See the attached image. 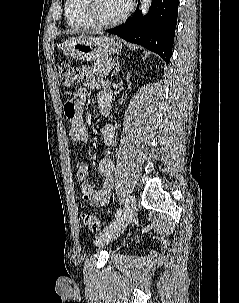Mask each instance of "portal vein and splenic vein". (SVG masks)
I'll use <instances>...</instances> for the list:
<instances>
[{"mask_svg": "<svg viewBox=\"0 0 239 303\" xmlns=\"http://www.w3.org/2000/svg\"><path fill=\"white\" fill-rule=\"evenodd\" d=\"M112 69V67L110 66V64L108 65V70L110 71Z\"/></svg>", "mask_w": 239, "mask_h": 303, "instance_id": "18ae733b", "label": "portal vein and splenic vein"}]
</instances>
